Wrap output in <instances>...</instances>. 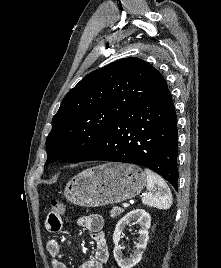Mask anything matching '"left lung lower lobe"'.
Returning <instances> with one entry per match:
<instances>
[{
  "mask_svg": "<svg viewBox=\"0 0 221 268\" xmlns=\"http://www.w3.org/2000/svg\"><path fill=\"white\" fill-rule=\"evenodd\" d=\"M177 116L168 88L118 117L85 161L104 160L146 166L177 182Z\"/></svg>",
  "mask_w": 221,
  "mask_h": 268,
  "instance_id": "0a47b994",
  "label": "left lung lower lobe"
}]
</instances>
